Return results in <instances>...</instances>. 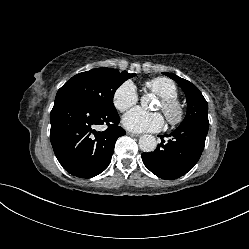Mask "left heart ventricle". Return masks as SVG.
Instances as JSON below:
<instances>
[{
	"instance_id": "1",
	"label": "left heart ventricle",
	"mask_w": 249,
	"mask_h": 249,
	"mask_svg": "<svg viewBox=\"0 0 249 249\" xmlns=\"http://www.w3.org/2000/svg\"><path fill=\"white\" fill-rule=\"evenodd\" d=\"M156 109H161V103L159 102Z\"/></svg>"
}]
</instances>
